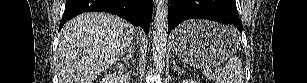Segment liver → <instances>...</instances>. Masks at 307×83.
<instances>
[{
    "label": "liver",
    "mask_w": 307,
    "mask_h": 83,
    "mask_svg": "<svg viewBox=\"0 0 307 83\" xmlns=\"http://www.w3.org/2000/svg\"><path fill=\"white\" fill-rule=\"evenodd\" d=\"M142 31L106 13H83L65 23L57 49L59 83H93Z\"/></svg>",
    "instance_id": "1"
}]
</instances>
